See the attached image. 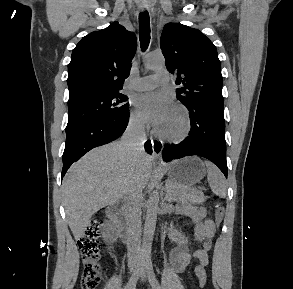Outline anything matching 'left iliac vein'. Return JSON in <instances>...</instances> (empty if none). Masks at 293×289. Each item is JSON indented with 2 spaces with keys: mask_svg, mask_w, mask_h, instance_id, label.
I'll use <instances>...</instances> for the list:
<instances>
[{
  "mask_svg": "<svg viewBox=\"0 0 293 289\" xmlns=\"http://www.w3.org/2000/svg\"><path fill=\"white\" fill-rule=\"evenodd\" d=\"M145 277H146V274H145L144 266L142 265L141 272H140V279H141V281H144L145 280Z\"/></svg>",
  "mask_w": 293,
  "mask_h": 289,
  "instance_id": "left-iliac-vein-1",
  "label": "left iliac vein"
}]
</instances>
